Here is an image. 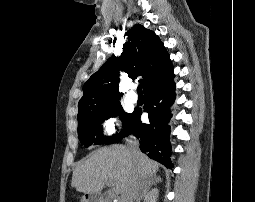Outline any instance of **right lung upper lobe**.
<instances>
[{"instance_id":"1","label":"right lung upper lobe","mask_w":255,"mask_h":202,"mask_svg":"<svg viewBox=\"0 0 255 202\" xmlns=\"http://www.w3.org/2000/svg\"><path fill=\"white\" fill-rule=\"evenodd\" d=\"M120 57H111L83 86L78 103V116L96 109L120 103L119 71L125 70L130 78L143 76L144 93L157 88L174 77L170 56L159 37L140 24L127 33ZM77 116V117H78Z\"/></svg>"}]
</instances>
